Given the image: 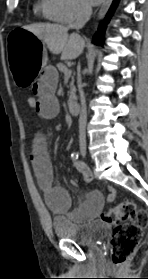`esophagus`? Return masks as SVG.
Listing matches in <instances>:
<instances>
[{"label": "esophagus", "mask_w": 148, "mask_h": 279, "mask_svg": "<svg viewBox=\"0 0 148 279\" xmlns=\"http://www.w3.org/2000/svg\"><path fill=\"white\" fill-rule=\"evenodd\" d=\"M111 2V0H104L99 11H98V18H103L108 10V6H109V3Z\"/></svg>", "instance_id": "esophagus-1"}]
</instances>
